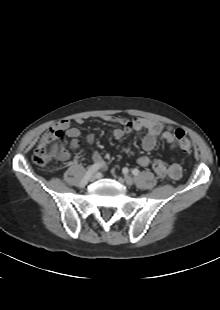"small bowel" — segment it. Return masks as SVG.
<instances>
[{"mask_svg": "<svg viewBox=\"0 0 220 310\" xmlns=\"http://www.w3.org/2000/svg\"><path fill=\"white\" fill-rule=\"evenodd\" d=\"M102 119L120 125V127L112 130V135L116 139H121L133 131H144L141 144L145 151L153 150L158 140L165 142L171 150L176 149L174 130L170 125L139 117L128 119L125 117L105 115ZM76 122L82 124L83 119L78 118ZM54 129L62 130L64 134L70 138L71 149L74 150L78 148L81 131L77 127H73L71 121L61 120L54 126ZM85 138L89 144L95 143V135L93 133H88ZM92 159L94 163L100 165L101 168L105 166L103 157L99 151L93 152ZM137 163L142 167L151 166L155 174L163 179L167 178L176 181L182 176V168L175 161L167 163L162 160H153L149 156H141L137 159Z\"/></svg>", "mask_w": 220, "mask_h": 310, "instance_id": "small-bowel-1", "label": "small bowel"}]
</instances>
